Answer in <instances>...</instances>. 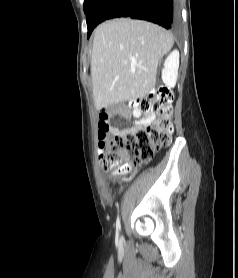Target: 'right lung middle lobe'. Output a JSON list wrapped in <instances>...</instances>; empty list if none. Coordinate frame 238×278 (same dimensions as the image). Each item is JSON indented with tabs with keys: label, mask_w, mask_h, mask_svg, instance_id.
I'll return each instance as SVG.
<instances>
[{
	"label": "right lung middle lobe",
	"mask_w": 238,
	"mask_h": 278,
	"mask_svg": "<svg viewBox=\"0 0 238 278\" xmlns=\"http://www.w3.org/2000/svg\"><path fill=\"white\" fill-rule=\"evenodd\" d=\"M96 0H85L83 8H84V13L87 14L88 10L90 7L94 4Z\"/></svg>",
	"instance_id": "1"
}]
</instances>
